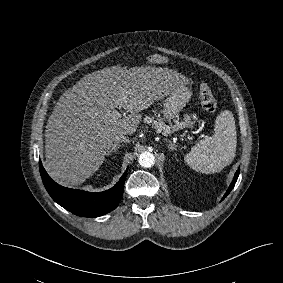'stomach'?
I'll return each mask as SVG.
<instances>
[{"mask_svg":"<svg viewBox=\"0 0 283 283\" xmlns=\"http://www.w3.org/2000/svg\"><path fill=\"white\" fill-rule=\"evenodd\" d=\"M192 92L186 82H181L175 89H173L167 96L164 102L163 116L168 121L176 122L180 111L190 101Z\"/></svg>","mask_w":283,"mask_h":283,"instance_id":"obj_1","label":"stomach"}]
</instances>
